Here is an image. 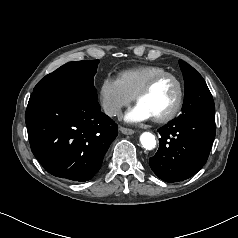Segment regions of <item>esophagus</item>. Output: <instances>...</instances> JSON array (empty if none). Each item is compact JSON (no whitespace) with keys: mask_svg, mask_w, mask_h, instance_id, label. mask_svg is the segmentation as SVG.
Here are the masks:
<instances>
[{"mask_svg":"<svg viewBox=\"0 0 238 238\" xmlns=\"http://www.w3.org/2000/svg\"><path fill=\"white\" fill-rule=\"evenodd\" d=\"M119 130L125 135H131L135 132L134 130L125 127H119Z\"/></svg>","mask_w":238,"mask_h":238,"instance_id":"obj_1","label":"esophagus"}]
</instances>
